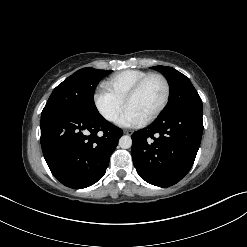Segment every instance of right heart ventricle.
<instances>
[{
	"mask_svg": "<svg viewBox=\"0 0 247 247\" xmlns=\"http://www.w3.org/2000/svg\"><path fill=\"white\" fill-rule=\"evenodd\" d=\"M149 72L130 69L119 72L108 78L104 85L119 98L125 100L129 90Z\"/></svg>",
	"mask_w": 247,
	"mask_h": 247,
	"instance_id": "obj_1",
	"label": "right heart ventricle"
}]
</instances>
